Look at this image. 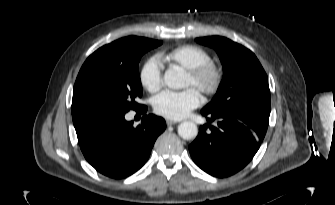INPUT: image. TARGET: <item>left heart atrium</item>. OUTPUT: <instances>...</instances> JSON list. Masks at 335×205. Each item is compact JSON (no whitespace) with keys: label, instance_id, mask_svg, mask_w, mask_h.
Here are the masks:
<instances>
[{"label":"left heart atrium","instance_id":"left-heart-atrium-1","mask_svg":"<svg viewBox=\"0 0 335 205\" xmlns=\"http://www.w3.org/2000/svg\"><path fill=\"white\" fill-rule=\"evenodd\" d=\"M202 103L200 93L194 88L183 91L166 90L153 99L154 111L169 119H181Z\"/></svg>","mask_w":335,"mask_h":205}]
</instances>
